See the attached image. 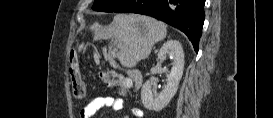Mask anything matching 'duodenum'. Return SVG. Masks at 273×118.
I'll return each instance as SVG.
<instances>
[{
    "instance_id": "obj_1",
    "label": "duodenum",
    "mask_w": 273,
    "mask_h": 118,
    "mask_svg": "<svg viewBox=\"0 0 273 118\" xmlns=\"http://www.w3.org/2000/svg\"><path fill=\"white\" fill-rule=\"evenodd\" d=\"M127 74L133 83V87L135 89L139 88L143 80L141 72L137 69H128Z\"/></svg>"
}]
</instances>
